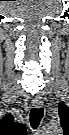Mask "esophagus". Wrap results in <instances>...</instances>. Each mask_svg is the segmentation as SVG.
Wrapping results in <instances>:
<instances>
[{
	"label": "esophagus",
	"mask_w": 69,
	"mask_h": 135,
	"mask_svg": "<svg viewBox=\"0 0 69 135\" xmlns=\"http://www.w3.org/2000/svg\"><path fill=\"white\" fill-rule=\"evenodd\" d=\"M32 104H33V106H34L35 108H41V107H43V102L40 101V100H34V101L32 102Z\"/></svg>",
	"instance_id": "34e87169"
}]
</instances>
